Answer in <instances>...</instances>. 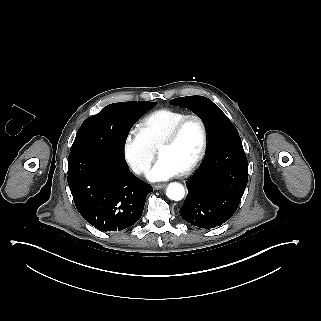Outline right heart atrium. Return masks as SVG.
Segmentation results:
<instances>
[{
  "instance_id": "d8ad5b80",
  "label": "right heart atrium",
  "mask_w": 321,
  "mask_h": 321,
  "mask_svg": "<svg viewBox=\"0 0 321 321\" xmlns=\"http://www.w3.org/2000/svg\"><path fill=\"white\" fill-rule=\"evenodd\" d=\"M149 141L138 127H133L126 133L122 152L125 162L136 175H143L149 168L151 157Z\"/></svg>"
}]
</instances>
